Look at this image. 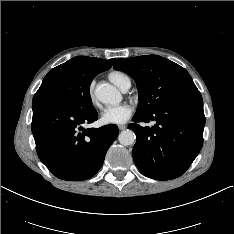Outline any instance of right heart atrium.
<instances>
[{"label":"right heart atrium","instance_id":"1","mask_svg":"<svg viewBox=\"0 0 234 234\" xmlns=\"http://www.w3.org/2000/svg\"><path fill=\"white\" fill-rule=\"evenodd\" d=\"M94 88H95V84L92 82L88 87V99L93 106H98Z\"/></svg>","mask_w":234,"mask_h":234}]
</instances>
